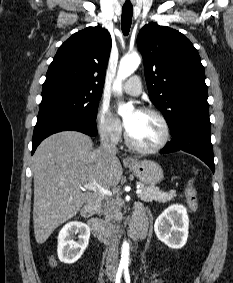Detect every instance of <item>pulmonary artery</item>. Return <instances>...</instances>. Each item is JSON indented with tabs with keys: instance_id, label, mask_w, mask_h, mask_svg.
<instances>
[{
	"instance_id": "1",
	"label": "pulmonary artery",
	"mask_w": 233,
	"mask_h": 283,
	"mask_svg": "<svg viewBox=\"0 0 233 283\" xmlns=\"http://www.w3.org/2000/svg\"><path fill=\"white\" fill-rule=\"evenodd\" d=\"M123 90L130 95L137 96L141 92V81L138 76H132L123 84Z\"/></svg>"
}]
</instances>
